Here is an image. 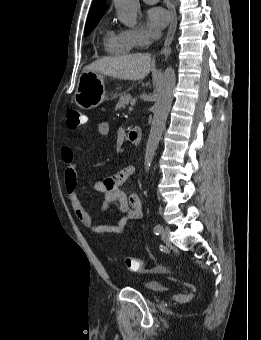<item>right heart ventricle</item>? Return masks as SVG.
<instances>
[{"label": "right heart ventricle", "mask_w": 261, "mask_h": 340, "mask_svg": "<svg viewBox=\"0 0 261 340\" xmlns=\"http://www.w3.org/2000/svg\"><path fill=\"white\" fill-rule=\"evenodd\" d=\"M103 43L106 52L113 55H126L137 47L125 31L111 29L106 31Z\"/></svg>", "instance_id": "1"}]
</instances>
